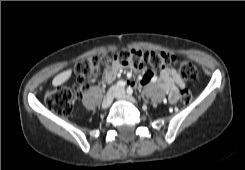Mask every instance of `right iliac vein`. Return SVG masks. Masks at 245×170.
<instances>
[{"label":"right iliac vein","instance_id":"obj_1","mask_svg":"<svg viewBox=\"0 0 245 170\" xmlns=\"http://www.w3.org/2000/svg\"><path fill=\"white\" fill-rule=\"evenodd\" d=\"M117 93V88L113 87L105 96L102 102V108L107 109L113 102L114 96Z\"/></svg>","mask_w":245,"mask_h":170}]
</instances>
